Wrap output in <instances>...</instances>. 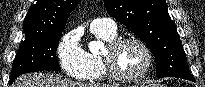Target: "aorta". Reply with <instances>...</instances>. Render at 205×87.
Segmentation results:
<instances>
[{
  "label": "aorta",
  "instance_id": "aorta-1",
  "mask_svg": "<svg viewBox=\"0 0 205 87\" xmlns=\"http://www.w3.org/2000/svg\"><path fill=\"white\" fill-rule=\"evenodd\" d=\"M100 45H101V42H100V41H93V42L89 45V48H90L91 50H95V49H97Z\"/></svg>",
  "mask_w": 205,
  "mask_h": 87
}]
</instances>
